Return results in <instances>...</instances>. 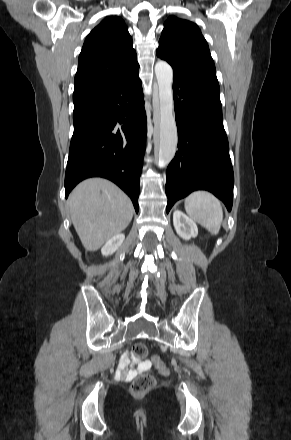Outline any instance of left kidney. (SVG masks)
<instances>
[{"instance_id":"obj_1","label":"left kidney","mask_w":291,"mask_h":440,"mask_svg":"<svg viewBox=\"0 0 291 440\" xmlns=\"http://www.w3.org/2000/svg\"><path fill=\"white\" fill-rule=\"evenodd\" d=\"M173 225L176 233L184 240H189L198 234L196 223L180 210H175L173 213Z\"/></svg>"}]
</instances>
